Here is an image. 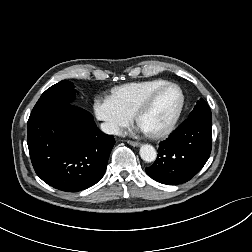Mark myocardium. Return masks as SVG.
<instances>
[{
    "instance_id": "1",
    "label": "myocardium",
    "mask_w": 252,
    "mask_h": 252,
    "mask_svg": "<svg viewBox=\"0 0 252 252\" xmlns=\"http://www.w3.org/2000/svg\"><path fill=\"white\" fill-rule=\"evenodd\" d=\"M168 87H176L179 90V92L181 94V102H180V105H179L174 117L172 118V120L170 121V123L166 127H164L161 130H158V131L148 132V134L153 138H163L165 136H168L175 129V127H176V125H177V123H178V121L184 111L185 104H186V96H185V93H184V90L182 89V87L175 82H167L165 84H162V85L156 87L138 105V107L136 108V111L134 113L135 120L138 123H140V119H141L142 115L144 114V112H146L151 107L156 96L161 91H163L164 89H166Z\"/></svg>"
}]
</instances>
